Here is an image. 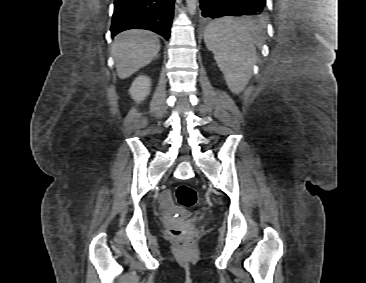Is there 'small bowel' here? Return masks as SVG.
I'll return each mask as SVG.
<instances>
[{"label":"small bowel","mask_w":366,"mask_h":283,"mask_svg":"<svg viewBox=\"0 0 366 283\" xmlns=\"http://www.w3.org/2000/svg\"><path fill=\"white\" fill-rule=\"evenodd\" d=\"M160 201L163 207H169L171 205L170 193L168 191H163L160 195Z\"/></svg>","instance_id":"small-bowel-1"}]
</instances>
